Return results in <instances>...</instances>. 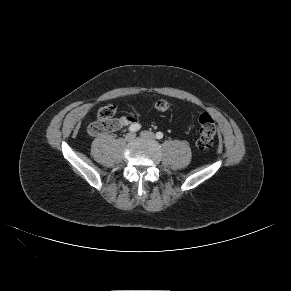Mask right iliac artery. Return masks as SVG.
I'll list each match as a JSON object with an SVG mask.
<instances>
[{
    "label": "right iliac artery",
    "mask_w": 291,
    "mask_h": 291,
    "mask_svg": "<svg viewBox=\"0 0 291 291\" xmlns=\"http://www.w3.org/2000/svg\"><path fill=\"white\" fill-rule=\"evenodd\" d=\"M140 128H141V125L138 124V123H135V124L130 125V127H129V131H131V132H136V131H138Z\"/></svg>",
    "instance_id": "right-iliac-artery-1"
}]
</instances>
